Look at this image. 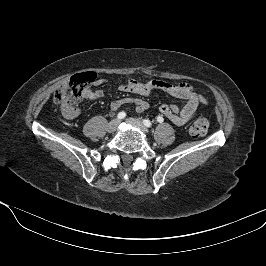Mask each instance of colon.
<instances>
[{
	"mask_svg": "<svg viewBox=\"0 0 266 266\" xmlns=\"http://www.w3.org/2000/svg\"><path fill=\"white\" fill-rule=\"evenodd\" d=\"M96 75L92 72L78 74L63 83L55 92L54 98L62 106L63 110L70 111L78 104L87 89L93 83ZM209 123L204 117L197 118L190 127V134L195 137H202L208 131Z\"/></svg>",
	"mask_w": 266,
	"mask_h": 266,
	"instance_id": "obj_1",
	"label": "colon"
}]
</instances>
